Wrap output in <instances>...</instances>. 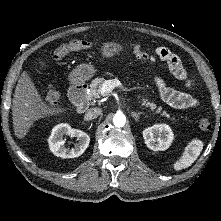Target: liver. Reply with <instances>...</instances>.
<instances>
[{
    "instance_id": "obj_1",
    "label": "liver",
    "mask_w": 221,
    "mask_h": 221,
    "mask_svg": "<svg viewBox=\"0 0 221 221\" xmlns=\"http://www.w3.org/2000/svg\"><path fill=\"white\" fill-rule=\"evenodd\" d=\"M41 64L44 65V63ZM66 110L61 107L49 108L42 100L27 71L21 74L12 101L13 128L19 139L26 136L35 121Z\"/></svg>"
}]
</instances>
